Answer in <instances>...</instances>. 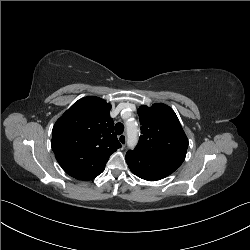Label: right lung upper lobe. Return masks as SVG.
<instances>
[{
    "label": "right lung upper lobe",
    "instance_id": "1",
    "mask_svg": "<svg viewBox=\"0 0 250 250\" xmlns=\"http://www.w3.org/2000/svg\"><path fill=\"white\" fill-rule=\"evenodd\" d=\"M111 105L99 97L75 102L55 123L52 150L62 169L79 180L101 174L109 156L121 147L109 115Z\"/></svg>",
    "mask_w": 250,
    "mask_h": 250
}]
</instances>
